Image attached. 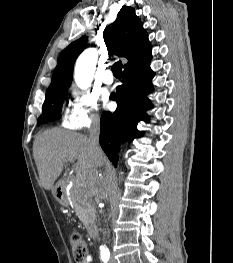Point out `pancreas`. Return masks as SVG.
<instances>
[{"label":"pancreas","mask_w":233,"mask_h":263,"mask_svg":"<svg viewBox=\"0 0 233 263\" xmlns=\"http://www.w3.org/2000/svg\"><path fill=\"white\" fill-rule=\"evenodd\" d=\"M70 197L79 220L85 227L92 225L95 219V207L89 193L81 192L74 186L70 190Z\"/></svg>","instance_id":"1"}]
</instances>
